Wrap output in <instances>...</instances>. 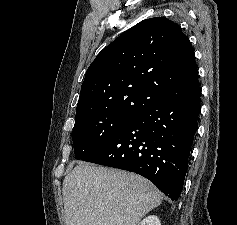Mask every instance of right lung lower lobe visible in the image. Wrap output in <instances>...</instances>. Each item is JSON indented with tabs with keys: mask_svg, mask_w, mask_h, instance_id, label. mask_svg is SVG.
<instances>
[{
	"mask_svg": "<svg viewBox=\"0 0 237 225\" xmlns=\"http://www.w3.org/2000/svg\"><path fill=\"white\" fill-rule=\"evenodd\" d=\"M200 96L198 84L151 102L81 160L135 172L177 200L198 127Z\"/></svg>",
	"mask_w": 237,
	"mask_h": 225,
	"instance_id": "98d812e1",
	"label": "right lung lower lobe"
}]
</instances>
